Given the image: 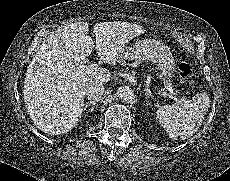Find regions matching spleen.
Returning a JSON list of instances; mask_svg holds the SVG:
<instances>
[{"label": "spleen", "instance_id": "obj_1", "mask_svg": "<svg viewBox=\"0 0 230 181\" xmlns=\"http://www.w3.org/2000/svg\"><path fill=\"white\" fill-rule=\"evenodd\" d=\"M208 104V96L205 93H200L190 100L161 106L156 111L157 118L171 139L176 140L179 137L187 139L201 125Z\"/></svg>", "mask_w": 230, "mask_h": 181}]
</instances>
